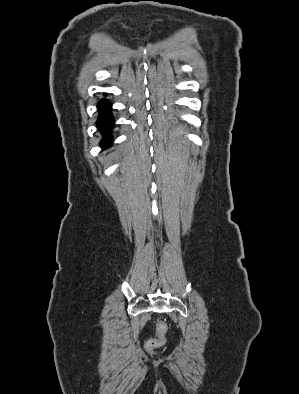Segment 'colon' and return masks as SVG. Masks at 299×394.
Instances as JSON below:
<instances>
[{"label":"colon","instance_id":"colon-1","mask_svg":"<svg viewBox=\"0 0 299 394\" xmlns=\"http://www.w3.org/2000/svg\"><path fill=\"white\" fill-rule=\"evenodd\" d=\"M167 325L161 321H157V337L149 339L145 343V348L148 352H154L166 343Z\"/></svg>","mask_w":299,"mask_h":394}]
</instances>
